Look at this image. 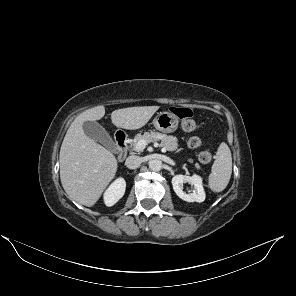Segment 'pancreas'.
<instances>
[{
	"instance_id": "cf45deb5",
	"label": "pancreas",
	"mask_w": 296,
	"mask_h": 296,
	"mask_svg": "<svg viewBox=\"0 0 296 296\" xmlns=\"http://www.w3.org/2000/svg\"><path fill=\"white\" fill-rule=\"evenodd\" d=\"M145 140L147 143L156 142L161 140L160 146L168 151H176L178 149V139L175 136H167L158 132H145L143 135L138 134L132 143L134 149L138 141ZM188 162L192 163L193 159H188ZM196 168L199 169L198 163L195 164Z\"/></svg>"
}]
</instances>
